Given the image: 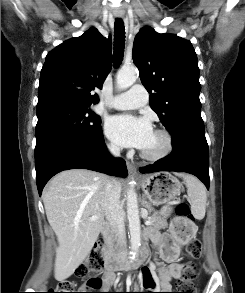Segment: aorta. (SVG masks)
<instances>
[{
	"label": "aorta",
	"mask_w": 245,
	"mask_h": 293,
	"mask_svg": "<svg viewBox=\"0 0 245 293\" xmlns=\"http://www.w3.org/2000/svg\"><path fill=\"white\" fill-rule=\"evenodd\" d=\"M138 77V71L135 67L122 68L116 76V83L119 89H127L133 85ZM127 219L129 222L131 260H134L138 254L141 242V226L139 218V207L136 192L129 188L126 196Z\"/></svg>",
	"instance_id": "1"
}]
</instances>
